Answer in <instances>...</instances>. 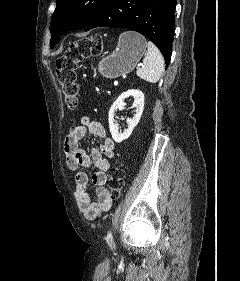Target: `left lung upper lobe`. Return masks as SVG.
I'll return each mask as SVG.
<instances>
[{"mask_svg": "<svg viewBox=\"0 0 240 281\" xmlns=\"http://www.w3.org/2000/svg\"><path fill=\"white\" fill-rule=\"evenodd\" d=\"M107 0H57L51 17V48L60 36L70 30L82 29L95 17Z\"/></svg>", "mask_w": 240, "mask_h": 281, "instance_id": "5c2ea615", "label": "left lung upper lobe"}]
</instances>
